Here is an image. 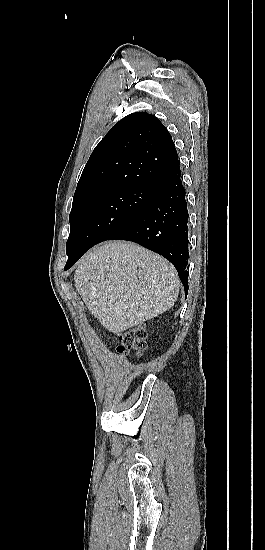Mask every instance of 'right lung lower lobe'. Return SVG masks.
Listing matches in <instances>:
<instances>
[{"instance_id": "98d812e1", "label": "right lung lower lobe", "mask_w": 265, "mask_h": 550, "mask_svg": "<svg viewBox=\"0 0 265 550\" xmlns=\"http://www.w3.org/2000/svg\"><path fill=\"white\" fill-rule=\"evenodd\" d=\"M179 163L164 175L144 211L108 240H128L168 259L188 293V211ZM70 267H65V270Z\"/></svg>"}]
</instances>
